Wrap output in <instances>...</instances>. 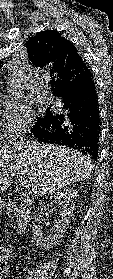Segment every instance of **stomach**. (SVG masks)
<instances>
[{
	"mask_svg": "<svg viewBox=\"0 0 113 279\" xmlns=\"http://www.w3.org/2000/svg\"><path fill=\"white\" fill-rule=\"evenodd\" d=\"M1 207H2V200H1V198H0V209H1Z\"/></svg>",
	"mask_w": 113,
	"mask_h": 279,
	"instance_id": "stomach-1",
	"label": "stomach"
}]
</instances>
